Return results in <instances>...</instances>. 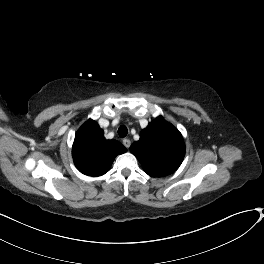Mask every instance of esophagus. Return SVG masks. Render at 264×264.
<instances>
[{"mask_svg":"<svg viewBox=\"0 0 264 264\" xmlns=\"http://www.w3.org/2000/svg\"><path fill=\"white\" fill-rule=\"evenodd\" d=\"M122 142H123V145H124L126 148H129L130 145H131V141H130L128 138L123 139Z\"/></svg>","mask_w":264,"mask_h":264,"instance_id":"34e87169","label":"esophagus"}]
</instances>
